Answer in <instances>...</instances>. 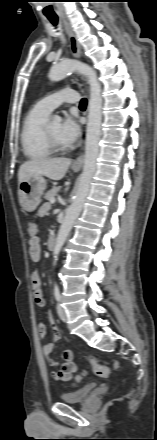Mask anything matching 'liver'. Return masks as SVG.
I'll use <instances>...</instances> for the list:
<instances>
[{
    "label": "liver",
    "instance_id": "1",
    "mask_svg": "<svg viewBox=\"0 0 157 440\" xmlns=\"http://www.w3.org/2000/svg\"><path fill=\"white\" fill-rule=\"evenodd\" d=\"M69 158H41L23 163L18 171V182L28 180L33 176H46L52 180H61L69 166Z\"/></svg>",
    "mask_w": 157,
    "mask_h": 440
}]
</instances>
